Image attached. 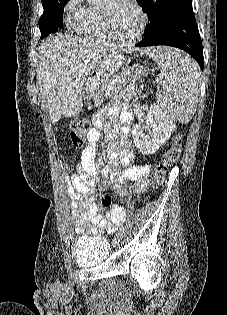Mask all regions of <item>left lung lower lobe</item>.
<instances>
[{"label": "left lung lower lobe", "instance_id": "left-lung-lower-lobe-1", "mask_svg": "<svg viewBox=\"0 0 227 315\" xmlns=\"http://www.w3.org/2000/svg\"><path fill=\"white\" fill-rule=\"evenodd\" d=\"M145 38L137 47L169 45L188 52L204 66L203 48L193 9L176 11L149 26L144 31Z\"/></svg>", "mask_w": 227, "mask_h": 315}]
</instances>
